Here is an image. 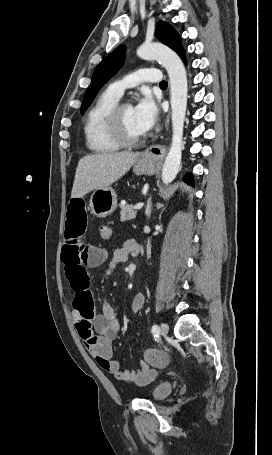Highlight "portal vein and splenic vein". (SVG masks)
Returning <instances> with one entry per match:
<instances>
[{
	"instance_id": "portal-vein-and-splenic-vein-1",
	"label": "portal vein and splenic vein",
	"mask_w": 272,
	"mask_h": 455,
	"mask_svg": "<svg viewBox=\"0 0 272 455\" xmlns=\"http://www.w3.org/2000/svg\"><path fill=\"white\" fill-rule=\"evenodd\" d=\"M143 205H144L143 203H138V204L134 207V209H135V210H139V209H141V208L143 207Z\"/></svg>"
}]
</instances>
